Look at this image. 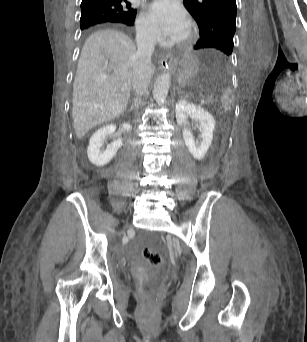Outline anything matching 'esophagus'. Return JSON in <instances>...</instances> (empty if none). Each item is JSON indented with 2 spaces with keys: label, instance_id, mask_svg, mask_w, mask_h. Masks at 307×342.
Returning a JSON list of instances; mask_svg holds the SVG:
<instances>
[{
  "label": "esophagus",
  "instance_id": "1",
  "mask_svg": "<svg viewBox=\"0 0 307 342\" xmlns=\"http://www.w3.org/2000/svg\"><path fill=\"white\" fill-rule=\"evenodd\" d=\"M173 58H174L173 55L167 54L163 57V61L169 64L170 62L173 61Z\"/></svg>",
  "mask_w": 307,
  "mask_h": 342
}]
</instances>
